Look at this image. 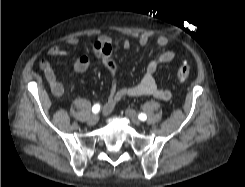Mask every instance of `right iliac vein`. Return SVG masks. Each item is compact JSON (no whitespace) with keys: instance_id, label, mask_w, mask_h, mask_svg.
Returning <instances> with one entry per match:
<instances>
[{"instance_id":"obj_1","label":"right iliac vein","mask_w":245,"mask_h":187,"mask_svg":"<svg viewBox=\"0 0 245 187\" xmlns=\"http://www.w3.org/2000/svg\"><path fill=\"white\" fill-rule=\"evenodd\" d=\"M98 119H99L98 115L93 114V115H91V116L89 117V119H88V124H89V125H95V124L98 122Z\"/></svg>"}]
</instances>
